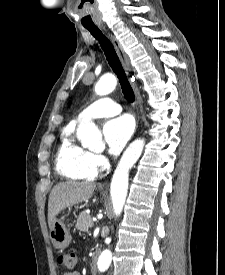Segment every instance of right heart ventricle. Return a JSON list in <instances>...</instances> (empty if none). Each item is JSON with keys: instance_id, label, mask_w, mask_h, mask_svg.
Masks as SVG:
<instances>
[{"instance_id": "1", "label": "right heart ventricle", "mask_w": 225, "mask_h": 275, "mask_svg": "<svg viewBox=\"0 0 225 275\" xmlns=\"http://www.w3.org/2000/svg\"><path fill=\"white\" fill-rule=\"evenodd\" d=\"M56 168L64 177L76 180H90L98 173L92 165L91 153L74 143L71 134H67L59 146Z\"/></svg>"}]
</instances>
